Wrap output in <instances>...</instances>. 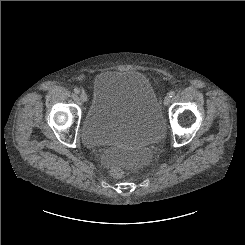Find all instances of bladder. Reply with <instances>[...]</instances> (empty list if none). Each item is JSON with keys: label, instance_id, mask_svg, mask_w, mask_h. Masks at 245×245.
I'll list each match as a JSON object with an SVG mask.
<instances>
[{"label": "bladder", "instance_id": "1", "mask_svg": "<svg viewBox=\"0 0 245 245\" xmlns=\"http://www.w3.org/2000/svg\"><path fill=\"white\" fill-rule=\"evenodd\" d=\"M164 126L159 98L144 74L107 70L93 83L92 103L80 133L91 147L136 146L159 138Z\"/></svg>", "mask_w": 245, "mask_h": 245}]
</instances>
